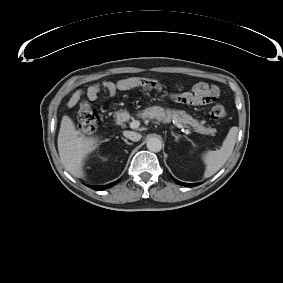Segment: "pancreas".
I'll use <instances>...</instances> for the list:
<instances>
[{
    "label": "pancreas",
    "instance_id": "cf45deb5",
    "mask_svg": "<svg viewBox=\"0 0 283 283\" xmlns=\"http://www.w3.org/2000/svg\"><path fill=\"white\" fill-rule=\"evenodd\" d=\"M144 118H154L158 121L168 122L170 120H175L177 123H191L196 127H202L199 125L191 116L182 111H170L163 110L160 107H150L141 113Z\"/></svg>",
    "mask_w": 283,
    "mask_h": 283
}]
</instances>
